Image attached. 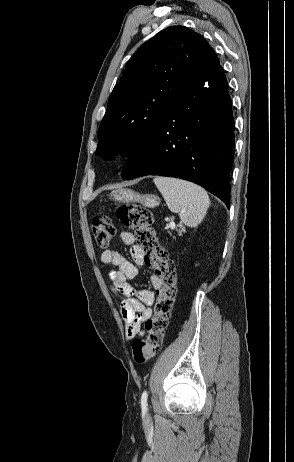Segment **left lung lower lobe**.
Returning a JSON list of instances; mask_svg holds the SVG:
<instances>
[{
    "label": "left lung lower lobe",
    "mask_w": 294,
    "mask_h": 462,
    "mask_svg": "<svg viewBox=\"0 0 294 462\" xmlns=\"http://www.w3.org/2000/svg\"><path fill=\"white\" fill-rule=\"evenodd\" d=\"M234 119L227 80L218 65L177 97L153 134L127 159L122 179L146 175L194 182L230 207Z\"/></svg>",
    "instance_id": "obj_1"
}]
</instances>
